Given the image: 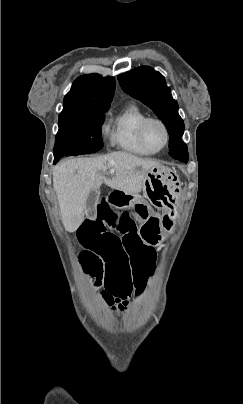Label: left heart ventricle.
Wrapping results in <instances>:
<instances>
[{"label": "left heart ventricle", "mask_w": 243, "mask_h": 404, "mask_svg": "<svg viewBox=\"0 0 243 404\" xmlns=\"http://www.w3.org/2000/svg\"><path fill=\"white\" fill-rule=\"evenodd\" d=\"M145 136L153 148H160L165 144L166 135L163 128L156 122H151L145 129Z\"/></svg>", "instance_id": "b2bd125f"}]
</instances>
